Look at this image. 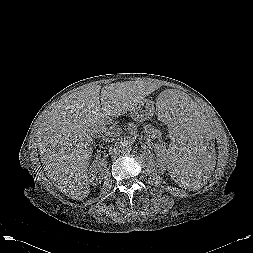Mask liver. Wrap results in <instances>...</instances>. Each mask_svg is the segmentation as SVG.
Returning <instances> with one entry per match:
<instances>
[{
  "mask_svg": "<svg viewBox=\"0 0 253 253\" xmlns=\"http://www.w3.org/2000/svg\"><path fill=\"white\" fill-rule=\"evenodd\" d=\"M154 88L140 81L91 85L61 101L40 123V159L50 181L74 200L90 193L93 128L131 111Z\"/></svg>",
  "mask_w": 253,
  "mask_h": 253,
  "instance_id": "liver-1",
  "label": "liver"
}]
</instances>
